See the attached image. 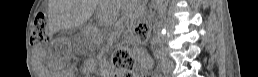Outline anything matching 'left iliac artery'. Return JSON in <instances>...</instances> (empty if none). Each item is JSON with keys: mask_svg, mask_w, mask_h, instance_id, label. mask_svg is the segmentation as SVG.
Here are the masks:
<instances>
[{"mask_svg": "<svg viewBox=\"0 0 258 77\" xmlns=\"http://www.w3.org/2000/svg\"><path fill=\"white\" fill-rule=\"evenodd\" d=\"M158 57H161L162 56V54L159 52V53H157L156 54Z\"/></svg>", "mask_w": 258, "mask_h": 77, "instance_id": "obj_1", "label": "left iliac artery"}]
</instances>
